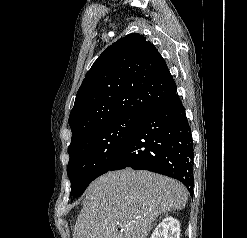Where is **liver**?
Returning a JSON list of instances; mask_svg holds the SVG:
<instances>
[{
	"instance_id": "6515ba94",
	"label": "liver",
	"mask_w": 247,
	"mask_h": 238,
	"mask_svg": "<svg viewBox=\"0 0 247 238\" xmlns=\"http://www.w3.org/2000/svg\"><path fill=\"white\" fill-rule=\"evenodd\" d=\"M187 199L174 179L131 168L108 172L87 188L73 238H147L159 215L183 209Z\"/></svg>"
}]
</instances>
